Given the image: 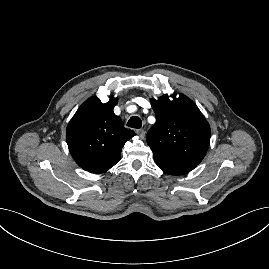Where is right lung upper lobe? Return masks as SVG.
I'll use <instances>...</instances> for the list:
<instances>
[{"label":"right lung upper lobe","mask_w":269,"mask_h":269,"mask_svg":"<svg viewBox=\"0 0 269 269\" xmlns=\"http://www.w3.org/2000/svg\"><path fill=\"white\" fill-rule=\"evenodd\" d=\"M118 99L102 103L93 96L77 110L66 130L69 151L76 163L91 173L108 171L121 157L125 142L135 132L124 128L113 108Z\"/></svg>","instance_id":"cb5924a9"}]
</instances>
